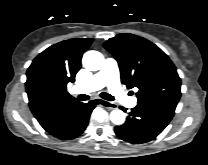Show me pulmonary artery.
I'll return each mask as SVG.
<instances>
[{
  "instance_id": "pulmonary-artery-1",
  "label": "pulmonary artery",
  "mask_w": 208,
  "mask_h": 165,
  "mask_svg": "<svg viewBox=\"0 0 208 165\" xmlns=\"http://www.w3.org/2000/svg\"><path fill=\"white\" fill-rule=\"evenodd\" d=\"M104 86H107L112 95L123 105L128 107L136 105L137 99L129 96L121 88L118 64L112 58H107L102 68L89 80L78 84L77 88L82 92H92Z\"/></svg>"
}]
</instances>
